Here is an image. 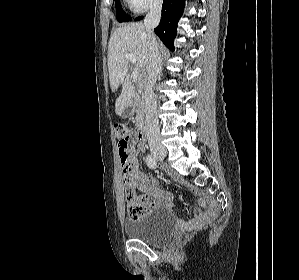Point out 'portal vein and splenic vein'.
<instances>
[{"label": "portal vein and splenic vein", "mask_w": 299, "mask_h": 280, "mask_svg": "<svg viewBox=\"0 0 299 280\" xmlns=\"http://www.w3.org/2000/svg\"><path fill=\"white\" fill-rule=\"evenodd\" d=\"M126 58H127L132 64H135L136 59H135L134 55H132V54H126ZM139 73H140V68H135V69L133 70L132 75H133V79H134V81L137 80V77H138Z\"/></svg>", "instance_id": "portal-vein-and-splenic-vein-1"}]
</instances>
